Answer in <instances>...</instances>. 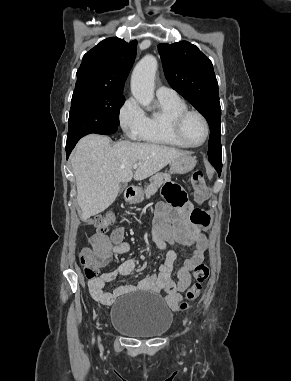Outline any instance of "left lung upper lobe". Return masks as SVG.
<instances>
[{
  "label": "left lung upper lobe",
  "mask_w": 291,
  "mask_h": 381,
  "mask_svg": "<svg viewBox=\"0 0 291 381\" xmlns=\"http://www.w3.org/2000/svg\"><path fill=\"white\" fill-rule=\"evenodd\" d=\"M158 50L170 86L203 114L209 123L208 157L221 158V107L212 62L187 41L159 44Z\"/></svg>",
  "instance_id": "obj_1"
}]
</instances>
